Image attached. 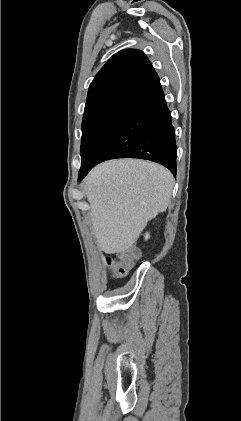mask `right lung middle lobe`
Here are the masks:
<instances>
[{
	"instance_id": "dd1d6c3e",
	"label": "right lung middle lobe",
	"mask_w": 241,
	"mask_h": 421,
	"mask_svg": "<svg viewBox=\"0 0 241 421\" xmlns=\"http://www.w3.org/2000/svg\"><path fill=\"white\" fill-rule=\"evenodd\" d=\"M131 102L116 103L88 114L82 121L81 169L92 166L125 118Z\"/></svg>"
}]
</instances>
